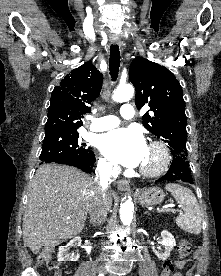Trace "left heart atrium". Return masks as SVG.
Returning <instances> with one entry per match:
<instances>
[{
    "mask_svg": "<svg viewBox=\"0 0 221 276\" xmlns=\"http://www.w3.org/2000/svg\"><path fill=\"white\" fill-rule=\"evenodd\" d=\"M100 149L109 160L126 167H136L142 164L147 145L139 130L121 128L103 135Z\"/></svg>",
    "mask_w": 221,
    "mask_h": 276,
    "instance_id": "1",
    "label": "left heart atrium"
}]
</instances>
